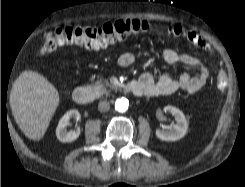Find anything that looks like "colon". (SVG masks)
<instances>
[{"label":"colon","mask_w":245,"mask_h":187,"mask_svg":"<svg viewBox=\"0 0 245 187\" xmlns=\"http://www.w3.org/2000/svg\"><path fill=\"white\" fill-rule=\"evenodd\" d=\"M149 28L150 24L148 22L137 19L119 20L99 27L59 28L43 37L40 50L43 53H49L63 45H78L97 49L123 41L138 33L146 32ZM167 32L176 37L185 38L200 48L210 49L201 36L179 24L168 27ZM217 84L219 87L225 86L222 74H218Z\"/></svg>","instance_id":"1"}]
</instances>
